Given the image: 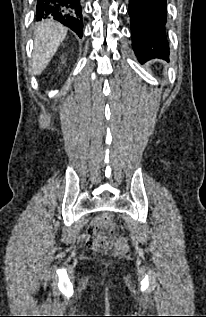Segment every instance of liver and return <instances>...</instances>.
<instances>
[{
	"label": "liver",
	"instance_id": "liver-1",
	"mask_svg": "<svg viewBox=\"0 0 206 317\" xmlns=\"http://www.w3.org/2000/svg\"><path fill=\"white\" fill-rule=\"evenodd\" d=\"M67 35V28L53 19L37 24L34 32L32 69L40 75L47 67Z\"/></svg>",
	"mask_w": 206,
	"mask_h": 317
}]
</instances>
